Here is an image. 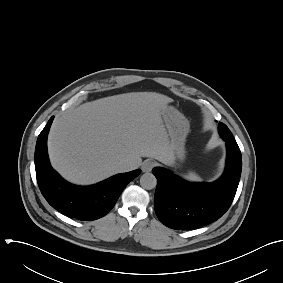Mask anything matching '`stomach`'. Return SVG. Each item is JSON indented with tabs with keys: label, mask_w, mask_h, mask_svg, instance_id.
I'll list each match as a JSON object with an SVG mask.
<instances>
[{
	"label": "stomach",
	"mask_w": 283,
	"mask_h": 283,
	"mask_svg": "<svg viewBox=\"0 0 283 283\" xmlns=\"http://www.w3.org/2000/svg\"><path fill=\"white\" fill-rule=\"evenodd\" d=\"M162 117L170 136L173 161H181L185 157V142L189 133V122L182 113L171 106L164 108Z\"/></svg>",
	"instance_id": "stomach-1"
}]
</instances>
